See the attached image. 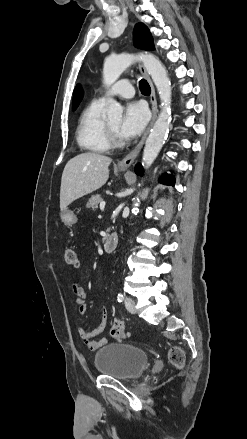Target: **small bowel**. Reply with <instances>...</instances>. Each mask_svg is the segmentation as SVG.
I'll return each mask as SVG.
<instances>
[{"label": "small bowel", "mask_w": 247, "mask_h": 439, "mask_svg": "<svg viewBox=\"0 0 247 439\" xmlns=\"http://www.w3.org/2000/svg\"><path fill=\"white\" fill-rule=\"evenodd\" d=\"M72 292L76 297V313L80 317H84L87 311V295L83 286L79 282H74L72 285ZM107 325V309L103 308L102 318L99 325L91 331H86L83 325H79L78 333L82 342L88 350L96 351L107 343L106 338L93 340V338L102 333Z\"/></svg>", "instance_id": "1"}]
</instances>
